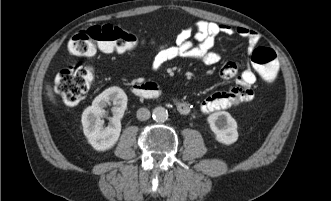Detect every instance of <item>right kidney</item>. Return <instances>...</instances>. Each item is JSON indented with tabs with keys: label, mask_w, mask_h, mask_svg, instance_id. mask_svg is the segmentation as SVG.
<instances>
[{
	"label": "right kidney",
	"mask_w": 331,
	"mask_h": 201,
	"mask_svg": "<svg viewBox=\"0 0 331 201\" xmlns=\"http://www.w3.org/2000/svg\"><path fill=\"white\" fill-rule=\"evenodd\" d=\"M113 104V117L105 127L102 120L105 107ZM127 108V95L120 87H110L99 94L92 105L87 107L82 114L83 132L88 143L97 151L111 149L118 141L121 132V118Z\"/></svg>",
	"instance_id": "right-kidney-1"
}]
</instances>
